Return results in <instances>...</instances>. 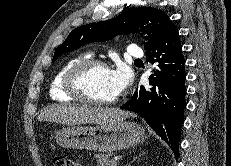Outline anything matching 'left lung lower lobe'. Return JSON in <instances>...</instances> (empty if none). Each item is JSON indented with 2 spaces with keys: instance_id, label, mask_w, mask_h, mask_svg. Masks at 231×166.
Returning a JSON list of instances; mask_svg holds the SVG:
<instances>
[{
  "instance_id": "obj_1",
  "label": "left lung lower lobe",
  "mask_w": 231,
  "mask_h": 166,
  "mask_svg": "<svg viewBox=\"0 0 231 166\" xmlns=\"http://www.w3.org/2000/svg\"><path fill=\"white\" fill-rule=\"evenodd\" d=\"M181 50L175 26L147 51L148 62L157 64L149 77V86H140L131 99L120 107L143 117L175 155L179 153L186 107L185 60Z\"/></svg>"
}]
</instances>
